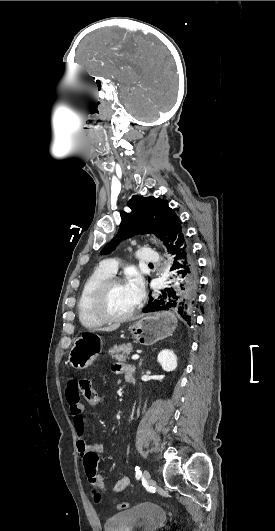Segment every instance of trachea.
Returning <instances> with one entry per match:
<instances>
[{
  "label": "trachea",
  "mask_w": 275,
  "mask_h": 531,
  "mask_svg": "<svg viewBox=\"0 0 275 531\" xmlns=\"http://www.w3.org/2000/svg\"><path fill=\"white\" fill-rule=\"evenodd\" d=\"M149 267H153V264H152V263H149Z\"/></svg>",
  "instance_id": "3493384b"
}]
</instances>
